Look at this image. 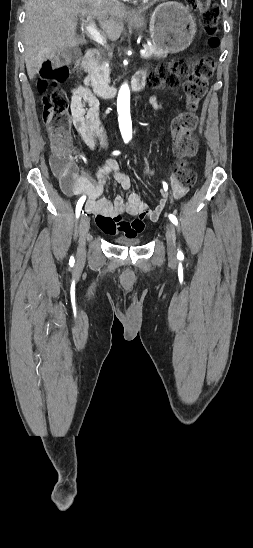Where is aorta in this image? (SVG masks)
<instances>
[{"label": "aorta", "instance_id": "obj_1", "mask_svg": "<svg viewBox=\"0 0 253 548\" xmlns=\"http://www.w3.org/2000/svg\"><path fill=\"white\" fill-rule=\"evenodd\" d=\"M117 109L119 113V125L121 134L124 138H131V118H130V89L127 84H123L119 90L117 98Z\"/></svg>", "mask_w": 253, "mask_h": 548}]
</instances>
